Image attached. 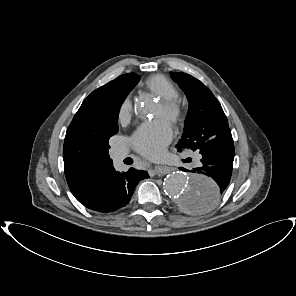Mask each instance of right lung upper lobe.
I'll use <instances>...</instances> for the list:
<instances>
[{
    "instance_id": "1",
    "label": "right lung upper lobe",
    "mask_w": 296,
    "mask_h": 296,
    "mask_svg": "<svg viewBox=\"0 0 296 296\" xmlns=\"http://www.w3.org/2000/svg\"><path fill=\"white\" fill-rule=\"evenodd\" d=\"M137 74L117 77L94 90L82 103L69 125L63 146L64 173L75 197L80 196L95 180L114 169L108 155L109 142L96 131L93 121L111 103L116 89Z\"/></svg>"
}]
</instances>
